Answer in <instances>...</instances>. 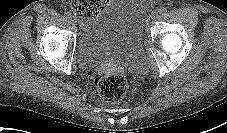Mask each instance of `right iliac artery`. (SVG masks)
Segmentation results:
<instances>
[{"mask_svg":"<svg viewBox=\"0 0 227 133\" xmlns=\"http://www.w3.org/2000/svg\"><path fill=\"white\" fill-rule=\"evenodd\" d=\"M64 15H65L66 17H68V18L71 17V13H70L69 11H66V12L64 13Z\"/></svg>","mask_w":227,"mask_h":133,"instance_id":"82829eb1","label":"right iliac artery"}]
</instances>
